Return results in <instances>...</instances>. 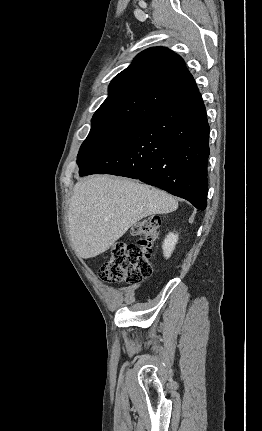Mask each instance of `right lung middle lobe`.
Returning <instances> with one entry per match:
<instances>
[{
  "mask_svg": "<svg viewBox=\"0 0 262 431\" xmlns=\"http://www.w3.org/2000/svg\"><path fill=\"white\" fill-rule=\"evenodd\" d=\"M135 124L106 123L92 125L89 135L80 147L77 157L79 173L95 163L112 145H114Z\"/></svg>",
  "mask_w": 262,
  "mask_h": 431,
  "instance_id": "obj_1",
  "label": "right lung middle lobe"
}]
</instances>
